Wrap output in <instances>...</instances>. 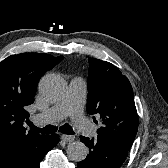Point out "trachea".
Here are the masks:
<instances>
[{"mask_svg": "<svg viewBox=\"0 0 168 168\" xmlns=\"http://www.w3.org/2000/svg\"><path fill=\"white\" fill-rule=\"evenodd\" d=\"M29 126L32 130H34L36 132H40L42 134H52V133H55L58 129L54 125H47L44 128H38V127L34 126L32 123H30ZM59 131L63 134H69V135H72L75 133L69 124H64L63 126H61Z\"/></svg>", "mask_w": 168, "mask_h": 168, "instance_id": "trachea-1", "label": "trachea"}]
</instances>
